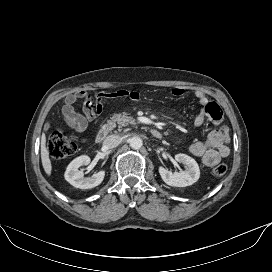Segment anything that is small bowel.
<instances>
[{"label":"small bowel","instance_id":"c3829d8e","mask_svg":"<svg viewBox=\"0 0 272 272\" xmlns=\"http://www.w3.org/2000/svg\"><path fill=\"white\" fill-rule=\"evenodd\" d=\"M171 93L175 97H182L185 90L181 87H174ZM201 109L194 119L196 126L203 125L206 121H210L215 125L204 141H196L189 146V152L200 157L203 164L212 167L215 166L222 158L230 154L228 146V130L224 126H220L222 119V111L219 105L207 99L205 94L200 90L194 91ZM126 98L137 101L140 95L136 91L117 90L114 92H97L95 94V106L93 107L92 97L85 91H79L69 94L62 107V114L66 124L76 132H84L89 122L96 119L103 111V103L109 99ZM81 101L83 114L75 111V104ZM85 140V138H83Z\"/></svg>","mask_w":272,"mask_h":272}]
</instances>
